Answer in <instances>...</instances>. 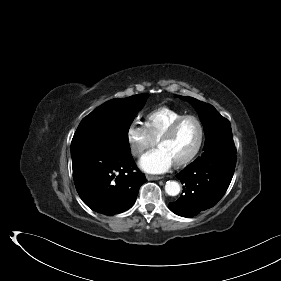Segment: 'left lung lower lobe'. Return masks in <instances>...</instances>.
I'll use <instances>...</instances> for the list:
<instances>
[{"label":"left lung lower lobe","mask_w":281,"mask_h":281,"mask_svg":"<svg viewBox=\"0 0 281 281\" xmlns=\"http://www.w3.org/2000/svg\"><path fill=\"white\" fill-rule=\"evenodd\" d=\"M236 154H203L176 175L183 184L181 196L169 207L175 214L192 218L213 207L223 197L232 180Z\"/></svg>","instance_id":"0a47b994"}]
</instances>
